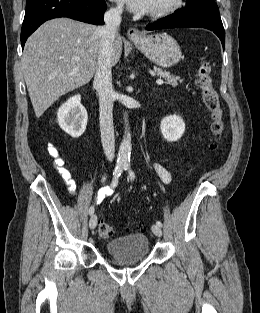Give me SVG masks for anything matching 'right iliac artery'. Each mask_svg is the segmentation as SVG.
<instances>
[{
    "label": "right iliac artery",
    "mask_w": 260,
    "mask_h": 313,
    "mask_svg": "<svg viewBox=\"0 0 260 313\" xmlns=\"http://www.w3.org/2000/svg\"><path fill=\"white\" fill-rule=\"evenodd\" d=\"M125 169V166L122 164H118L115 167V170L113 172V182H112V186H116L118 183V178L121 176L123 170ZM109 188V187H108ZM107 189V187H106ZM94 213V206H91L89 209V214L92 215Z\"/></svg>",
    "instance_id": "82829eb1"
}]
</instances>
